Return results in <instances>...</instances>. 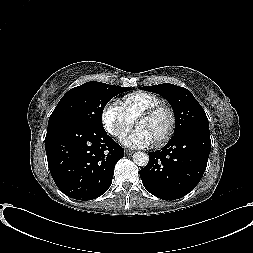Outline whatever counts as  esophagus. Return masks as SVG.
Wrapping results in <instances>:
<instances>
[{
    "instance_id": "1",
    "label": "esophagus",
    "mask_w": 253,
    "mask_h": 253,
    "mask_svg": "<svg viewBox=\"0 0 253 253\" xmlns=\"http://www.w3.org/2000/svg\"><path fill=\"white\" fill-rule=\"evenodd\" d=\"M125 153H126V155H132L134 153V151L126 150Z\"/></svg>"
}]
</instances>
